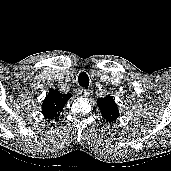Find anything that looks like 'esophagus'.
<instances>
[{"label":"esophagus","mask_w":171,"mask_h":171,"mask_svg":"<svg viewBox=\"0 0 171 171\" xmlns=\"http://www.w3.org/2000/svg\"><path fill=\"white\" fill-rule=\"evenodd\" d=\"M88 91L84 88H81L78 90V95L81 96V97H88Z\"/></svg>","instance_id":"1"}]
</instances>
